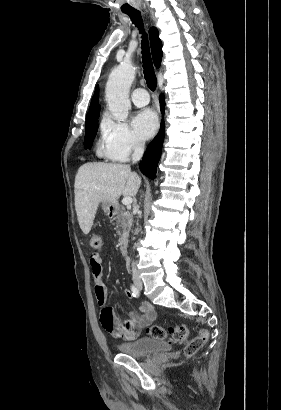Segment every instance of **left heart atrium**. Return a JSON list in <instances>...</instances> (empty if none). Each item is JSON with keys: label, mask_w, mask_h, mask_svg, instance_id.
I'll return each mask as SVG.
<instances>
[{"label": "left heart atrium", "mask_w": 281, "mask_h": 410, "mask_svg": "<svg viewBox=\"0 0 281 410\" xmlns=\"http://www.w3.org/2000/svg\"><path fill=\"white\" fill-rule=\"evenodd\" d=\"M132 126L139 137L148 139L158 128L157 115L151 109L142 110L133 118Z\"/></svg>", "instance_id": "obj_1"}]
</instances>
